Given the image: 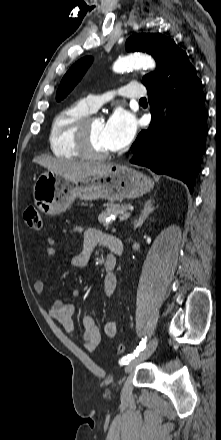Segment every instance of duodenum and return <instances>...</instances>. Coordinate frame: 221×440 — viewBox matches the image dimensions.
<instances>
[{"mask_svg":"<svg viewBox=\"0 0 221 440\" xmlns=\"http://www.w3.org/2000/svg\"><path fill=\"white\" fill-rule=\"evenodd\" d=\"M109 248L114 255H120L123 251V243L120 239L113 238L109 244ZM112 257V260H107L105 262V268L108 272H113V270L115 269L116 260L114 256Z\"/></svg>","mask_w":221,"mask_h":440,"instance_id":"duodenum-1","label":"duodenum"}]
</instances>
